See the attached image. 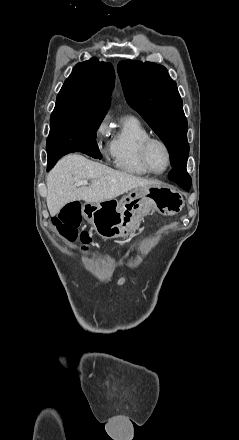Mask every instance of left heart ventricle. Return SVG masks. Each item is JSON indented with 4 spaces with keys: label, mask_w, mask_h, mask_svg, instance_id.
Here are the masks:
<instances>
[{
    "label": "left heart ventricle",
    "mask_w": 239,
    "mask_h": 440,
    "mask_svg": "<svg viewBox=\"0 0 239 440\" xmlns=\"http://www.w3.org/2000/svg\"><path fill=\"white\" fill-rule=\"evenodd\" d=\"M149 158L152 168L161 172L167 167V154L160 144H153L149 151Z\"/></svg>",
    "instance_id": "b2bd125f"
}]
</instances>
